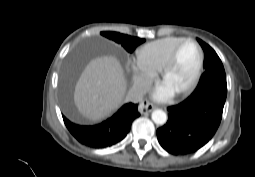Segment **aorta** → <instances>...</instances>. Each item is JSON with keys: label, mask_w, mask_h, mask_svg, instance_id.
I'll list each match as a JSON object with an SVG mask.
<instances>
[{"label": "aorta", "mask_w": 255, "mask_h": 177, "mask_svg": "<svg viewBox=\"0 0 255 177\" xmlns=\"http://www.w3.org/2000/svg\"><path fill=\"white\" fill-rule=\"evenodd\" d=\"M152 120L157 125H163L167 121V115L163 110L156 109L152 112Z\"/></svg>", "instance_id": "762f6f07"}]
</instances>
